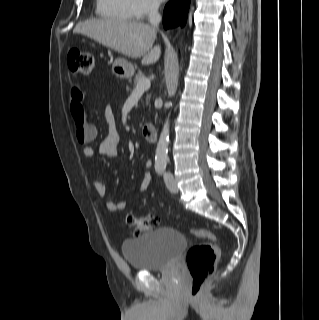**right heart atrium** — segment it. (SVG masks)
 <instances>
[{"label":"right heart atrium","mask_w":319,"mask_h":320,"mask_svg":"<svg viewBox=\"0 0 319 320\" xmlns=\"http://www.w3.org/2000/svg\"><path fill=\"white\" fill-rule=\"evenodd\" d=\"M135 18H145L159 9V0H128Z\"/></svg>","instance_id":"d8ad5b80"}]
</instances>
